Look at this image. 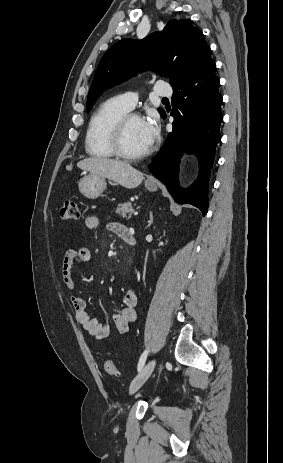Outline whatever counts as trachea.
<instances>
[{
	"label": "trachea",
	"mask_w": 283,
	"mask_h": 463,
	"mask_svg": "<svg viewBox=\"0 0 283 463\" xmlns=\"http://www.w3.org/2000/svg\"><path fill=\"white\" fill-rule=\"evenodd\" d=\"M164 101H167L168 99L167 98H163Z\"/></svg>",
	"instance_id": "trachea-1"
}]
</instances>
